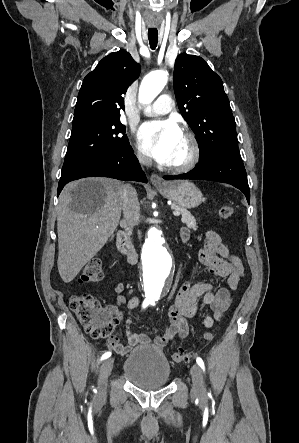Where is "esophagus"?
I'll list each match as a JSON object with an SVG mask.
<instances>
[{
  "label": "esophagus",
  "instance_id": "1",
  "mask_svg": "<svg viewBox=\"0 0 299 443\" xmlns=\"http://www.w3.org/2000/svg\"><path fill=\"white\" fill-rule=\"evenodd\" d=\"M150 181L154 186H164L165 185L162 178L160 176H158L157 174H151Z\"/></svg>",
  "mask_w": 299,
  "mask_h": 443
}]
</instances>
